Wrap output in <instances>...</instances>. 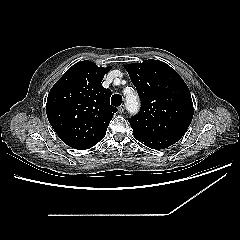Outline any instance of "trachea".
<instances>
[{
	"label": "trachea",
	"instance_id": "trachea-1",
	"mask_svg": "<svg viewBox=\"0 0 240 240\" xmlns=\"http://www.w3.org/2000/svg\"><path fill=\"white\" fill-rule=\"evenodd\" d=\"M111 104L115 107H118L122 104V96L119 94H115L111 98Z\"/></svg>",
	"mask_w": 240,
	"mask_h": 240
}]
</instances>
